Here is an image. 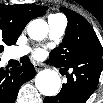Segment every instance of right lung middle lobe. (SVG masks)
<instances>
[{"instance_id": "obj_1", "label": "right lung middle lobe", "mask_w": 103, "mask_h": 103, "mask_svg": "<svg viewBox=\"0 0 103 103\" xmlns=\"http://www.w3.org/2000/svg\"><path fill=\"white\" fill-rule=\"evenodd\" d=\"M3 50V47H0V52Z\"/></svg>"}]
</instances>
